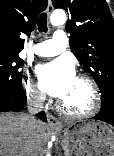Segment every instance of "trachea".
I'll return each mask as SVG.
<instances>
[{
  "instance_id": "obj_1",
  "label": "trachea",
  "mask_w": 114,
  "mask_h": 156,
  "mask_svg": "<svg viewBox=\"0 0 114 156\" xmlns=\"http://www.w3.org/2000/svg\"><path fill=\"white\" fill-rule=\"evenodd\" d=\"M38 30L39 32H47L48 28H47V15L46 13H42L40 14V16L38 17Z\"/></svg>"
}]
</instances>
